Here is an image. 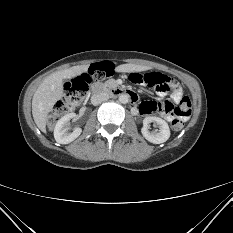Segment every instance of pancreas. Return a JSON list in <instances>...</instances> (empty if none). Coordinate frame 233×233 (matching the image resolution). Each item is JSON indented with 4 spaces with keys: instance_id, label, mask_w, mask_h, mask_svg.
<instances>
[{
    "instance_id": "cf45deb5",
    "label": "pancreas",
    "mask_w": 233,
    "mask_h": 233,
    "mask_svg": "<svg viewBox=\"0 0 233 233\" xmlns=\"http://www.w3.org/2000/svg\"><path fill=\"white\" fill-rule=\"evenodd\" d=\"M103 86L105 88H113L116 86V81L114 79H110Z\"/></svg>"
}]
</instances>
